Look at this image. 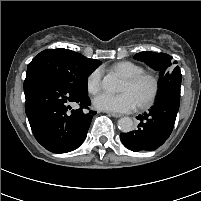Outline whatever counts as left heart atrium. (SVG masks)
<instances>
[{
	"label": "left heart atrium",
	"mask_w": 201,
	"mask_h": 201,
	"mask_svg": "<svg viewBox=\"0 0 201 201\" xmlns=\"http://www.w3.org/2000/svg\"><path fill=\"white\" fill-rule=\"evenodd\" d=\"M96 109L112 113H126L132 111L137 105V101L130 92L120 94L103 93L93 100Z\"/></svg>",
	"instance_id": "39dd6f15"
}]
</instances>
